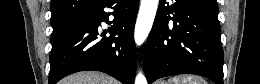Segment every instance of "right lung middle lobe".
<instances>
[{
    "mask_svg": "<svg viewBox=\"0 0 260 84\" xmlns=\"http://www.w3.org/2000/svg\"><path fill=\"white\" fill-rule=\"evenodd\" d=\"M70 24H66L64 26L53 28V32L51 35V41L55 40L59 35H61Z\"/></svg>",
    "mask_w": 260,
    "mask_h": 84,
    "instance_id": "1",
    "label": "right lung middle lobe"
}]
</instances>
